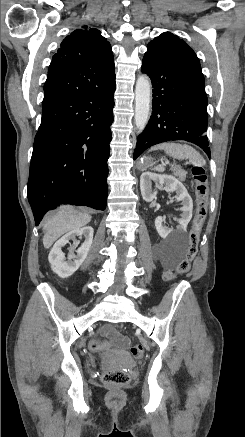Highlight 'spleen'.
<instances>
[{"mask_svg":"<svg viewBox=\"0 0 245 437\" xmlns=\"http://www.w3.org/2000/svg\"><path fill=\"white\" fill-rule=\"evenodd\" d=\"M155 150H164L167 154L172 156L173 158L182 160L184 158L189 159V161L198 167H202L205 165V160L201 156V154L195 150L193 147L187 145V144H180L175 142H165L162 144H158L153 146L149 151H155ZM157 171H164L165 166L164 165H157L154 167Z\"/></svg>","mask_w":245,"mask_h":437,"instance_id":"spleen-1","label":"spleen"}]
</instances>
